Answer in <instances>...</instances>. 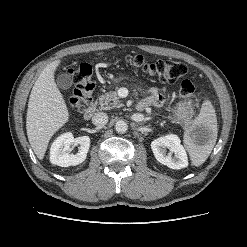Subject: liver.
Instances as JSON below:
<instances>
[{
	"instance_id": "1",
	"label": "liver",
	"mask_w": 247,
	"mask_h": 247,
	"mask_svg": "<svg viewBox=\"0 0 247 247\" xmlns=\"http://www.w3.org/2000/svg\"><path fill=\"white\" fill-rule=\"evenodd\" d=\"M61 60L48 64L36 80L30 94L26 130L29 143L42 160L51 137L69 120L63 95L57 88L54 74Z\"/></svg>"
}]
</instances>
